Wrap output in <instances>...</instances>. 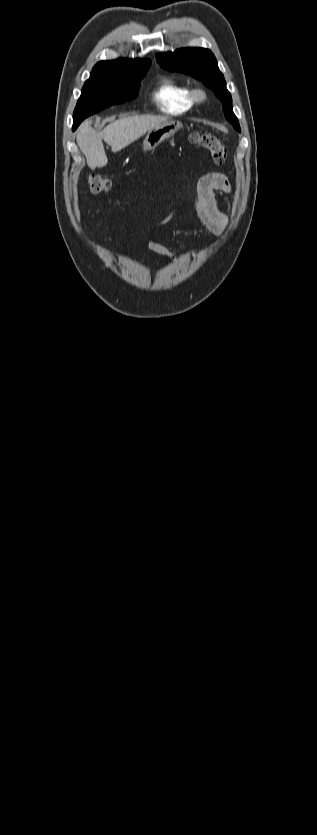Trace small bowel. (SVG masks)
<instances>
[{"label":"small bowel","instance_id":"c3829d8e","mask_svg":"<svg viewBox=\"0 0 317 835\" xmlns=\"http://www.w3.org/2000/svg\"><path fill=\"white\" fill-rule=\"evenodd\" d=\"M216 192L231 193L232 185L229 178L221 173H207L203 175L197 184V193L194 208L197 217L204 228L215 236H220L225 230L228 219L227 216L219 209L216 200ZM130 202H125L119 205L120 208L128 210L131 208ZM172 216L160 221L155 227L164 225L171 220ZM149 247L156 253H159L171 260L174 263H180V258L170 252L168 248L157 240L152 239Z\"/></svg>","mask_w":317,"mask_h":835}]
</instances>
